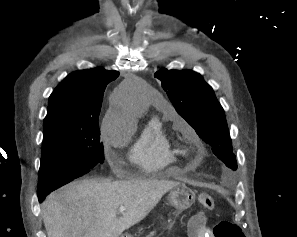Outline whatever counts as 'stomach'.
I'll list each match as a JSON object with an SVG mask.
<instances>
[{"label": "stomach", "mask_w": 297, "mask_h": 237, "mask_svg": "<svg viewBox=\"0 0 297 237\" xmlns=\"http://www.w3.org/2000/svg\"><path fill=\"white\" fill-rule=\"evenodd\" d=\"M168 201L171 206L178 211H183L189 208L195 201V194L185 186L173 188L169 195ZM121 237H132L130 234H123Z\"/></svg>", "instance_id": "stomach-1"}]
</instances>
